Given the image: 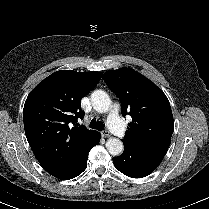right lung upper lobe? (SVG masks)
Segmentation results:
<instances>
[{"label": "right lung upper lobe", "instance_id": "right-lung-upper-lobe-1", "mask_svg": "<svg viewBox=\"0 0 209 209\" xmlns=\"http://www.w3.org/2000/svg\"><path fill=\"white\" fill-rule=\"evenodd\" d=\"M101 77V72L61 70L41 81L28 95L23 109L25 134L49 174L54 176L64 169L97 132L79 126L77 119L84 115L81 99Z\"/></svg>", "mask_w": 209, "mask_h": 209}]
</instances>
